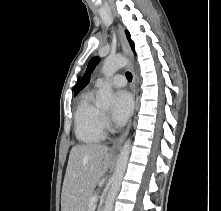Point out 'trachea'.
<instances>
[{
    "instance_id": "3493384b",
    "label": "trachea",
    "mask_w": 221,
    "mask_h": 211,
    "mask_svg": "<svg viewBox=\"0 0 221 211\" xmlns=\"http://www.w3.org/2000/svg\"><path fill=\"white\" fill-rule=\"evenodd\" d=\"M126 78L129 82L132 81V74L130 72H126Z\"/></svg>"
}]
</instances>
